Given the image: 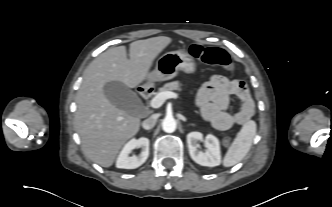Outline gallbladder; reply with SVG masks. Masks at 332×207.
Segmentation results:
<instances>
[{
  "label": "gallbladder",
  "instance_id": "bac80fb5",
  "mask_svg": "<svg viewBox=\"0 0 332 207\" xmlns=\"http://www.w3.org/2000/svg\"><path fill=\"white\" fill-rule=\"evenodd\" d=\"M106 98L116 107L137 115L141 108V100L135 92L119 81H110L104 85Z\"/></svg>",
  "mask_w": 332,
  "mask_h": 207
}]
</instances>
